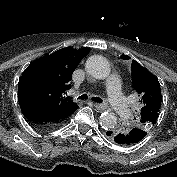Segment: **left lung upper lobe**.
Listing matches in <instances>:
<instances>
[{"instance_id":"left-lung-upper-lobe-1","label":"left lung upper lobe","mask_w":177,"mask_h":177,"mask_svg":"<svg viewBox=\"0 0 177 177\" xmlns=\"http://www.w3.org/2000/svg\"><path fill=\"white\" fill-rule=\"evenodd\" d=\"M134 89L140 98V112L134 124L148 132L155 125L161 108L160 83L154 75L135 60L131 64ZM118 131H123L121 128Z\"/></svg>"}]
</instances>
